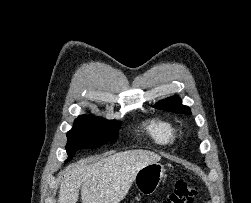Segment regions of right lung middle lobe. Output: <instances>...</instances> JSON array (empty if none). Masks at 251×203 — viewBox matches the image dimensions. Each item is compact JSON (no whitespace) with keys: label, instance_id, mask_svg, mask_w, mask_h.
Instances as JSON below:
<instances>
[{"label":"right lung middle lobe","instance_id":"dd1d6c3e","mask_svg":"<svg viewBox=\"0 0 251 203\" xmlns=\"http://www.w3.org/2000/svg\"><path fill=\"white\" fill-rule=\"evenodd\" d=\"M120 126L121 124L116 121H107L95 116H79L73 128L67 133L66 162L70 161L79 149H94L105 143L115 142Z\"/></svg>","mask_w":251,"mask_h":203}]
</instances>
